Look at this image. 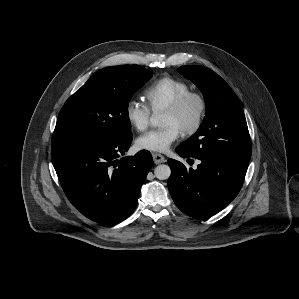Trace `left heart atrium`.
<instances>
[{
	"instance_id": "left-heart-atrium-1",
	"label": "left heart atrium",
	"mask_w": 299,
	"mask_h": 299,
	"mask_svg": "<svg viewBox=\"0 0 299 299\" xmlns=\"http://www.w3.org/2000/svg\"><path fill=\"white\" fill-rule=\"evenodd\" d=\"M180 136V129L175 125L148 131L136 139V147L140 150L164 152Z\"/></svg>"
}]
</instances>
